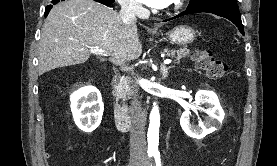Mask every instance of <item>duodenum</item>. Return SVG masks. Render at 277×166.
Masks as SVG:
<instances>
[{
    "instance_id": "duodenum-1",
    "label": "duodenum",
    "mask_w": 277,
    "mask_h": 166,
    "mask_svg": "<svg viewBox=\"0 0 277 166\" xmlns=\"http://www.w3.org/2000/svg\"><path fill=\"white\" fill-rule=\"evenodd\" d=\"M113 119L116 127L120 130H129L134 125L133 118L116 104L112 105Z\"/></svg>"
}]
</instances>
